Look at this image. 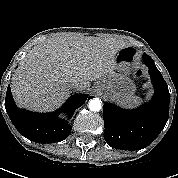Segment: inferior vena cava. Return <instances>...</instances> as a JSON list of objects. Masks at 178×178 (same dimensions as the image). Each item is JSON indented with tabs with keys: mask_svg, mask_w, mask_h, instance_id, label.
Listing matches in <instances>:
<instances>
[{
	"mask_svg": "<svg viewBox=\"0 0 178 178\" xmlns=\"http://www.w3.org/2000/svg\"><path fill=\"white\" fill-rule=\"evenodd\" d=\"M71 86H72L74 89L79 88V82H78V80L73 79V80L71 81Z\"/></svg>",
	"mask_w": 178,
	"mask_h": 178,
	"instance_id": "inferior-vena-cava-1",
	"label": "inferior vena cava"
}]
</instances>
